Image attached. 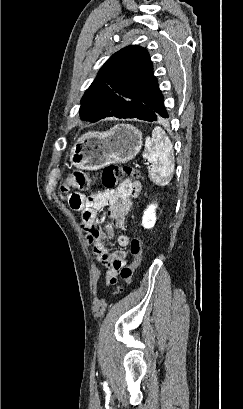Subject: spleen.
Here are the masks:
<instances>
[{"label": "spleen", "mask_w": 243, "mask_h": 409, "mask_svg": "<svg viewBox=\"0 0 243 409\" xmlns=\"http://www.w3.org/2000/svg\"><path fill=\"white\" fill-rule=\"evenodd\" d=\"M172 143L161 127H155L152 138L146 137L143 156L152 164L149 171L150 180L159 186L167 185L174 172Z\"/></svg>", "instance_id": "1"}]
</instances>
